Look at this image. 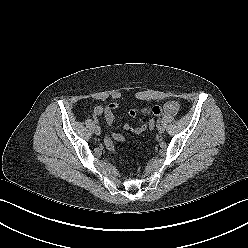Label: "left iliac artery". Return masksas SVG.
I'll use <instances>...</instances> for the list:
<instances>
[{
    "instance_id": "1",
    "label": "left iliac artery",
    "mask_w": 248,
    "mask_h": 248,
    "mask_svg": "<svg viewBox=\"0 0 248 248\" xmlns=\"http://www.w3.org/2000/svg\"><path fill=\"white\" fill-rule=\"evenodd\" d=\"M157 122H158V123H161V122H162V120L159 118V119L157 120Z\"/></svg>"
}]
</instances>
